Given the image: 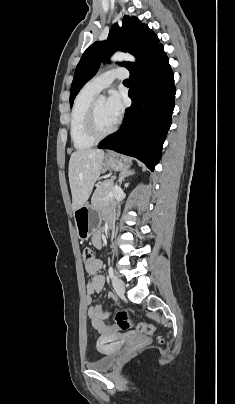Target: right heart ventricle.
<instances>
[{
    "label": "right heart ventricle",
    "mask_w": 235,
    "mask_h": 404,
    "mask_svg": "<svg viewBox=\"0 0 235 404\" xmlns=\"http://www.w3.org/2000/svg\"><path fill=\"white\" fill-rule=\"evenodd\" d=\"M95 94L84 89L75 98L70 116V137L74 147L85 150L95 145L86 132V120L90 104Z\"/></svg>",
    "instance_id": "e07e8e85"
}]
</instances>
